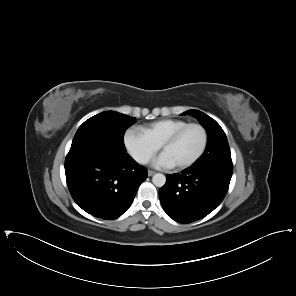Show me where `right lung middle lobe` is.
<instances>
[{
	"label": "right lung middle lobe",
	"instance_id": "right-lung-middle-lobe-1",
	"mask_svg": "<svg viewBox=\"0 0 296 296\" xmlns=\"http://www.w3.org/2000/svg\"><path fill=\"white\" fill-rule=\"evenodd\" d=\"M135 122L136 118L118 112H102L89 118L78 128L71 147L91 144L125 153L123 136L126 129Z\"/></svg>",
	"mask_w": 296,
	"mask_h": 296
}]
</instances>
